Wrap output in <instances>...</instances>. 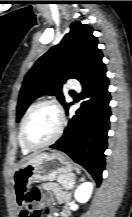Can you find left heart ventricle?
Wrapping results in <instances>:
<instances>
[{
    "label": "left heart ventricle",
    "instance_id": "b2bd125f",
    "mask_svg": "<svg viewBox=\"0 0 132 217\" xmlns=\"http://www.w3.org/2000/svg\"><path fill=\"white\" fill-rule=\"evenodd\" d=\"M59 126V115L51 106L39 108L31 117L27 129L26 138L34 145L42 144L56 134Z\"/></svg>",
    "mask_w": 132,
    "mask_h": 217
}]
</instances>
